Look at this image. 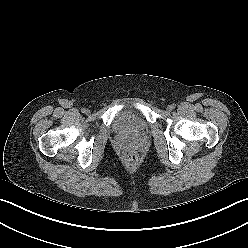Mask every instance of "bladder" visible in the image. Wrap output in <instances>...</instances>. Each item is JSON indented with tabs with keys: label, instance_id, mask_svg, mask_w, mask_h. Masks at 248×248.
I'll list each match as a JSON object with an SVG mask.
<instances>
[{
	"label": "bladder",
	"instance_id": "obj_1",
	"mask_svg": "<svg viewBox=\"0 0 248 248\" xmlns=\"http://www.w3.org/2000/svg\"><path fill=\"white\" fill-rule=\"evenodd\" d=\"M115 130L121 134H139L146 130L145 121L137 113L125 111L116 117Z\"/></svg>",
	"mask_w": 248,
	"mask_h": 248
}]
</instances>
